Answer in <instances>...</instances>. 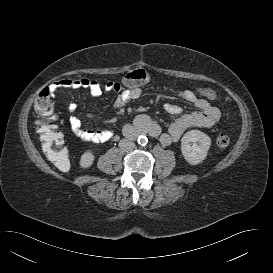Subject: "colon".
I'll list each match as a JSON object with an SVG mask.
<instances>
[{
	"mask_svg": "<svg viewBox=\"0 0 273 273\" xmlns=\"http://www.w3.org/2000/svg\"><path fill=\"white\" fill-rule=\"evenodd\" d=\"M150 81V75L145 70H133L128 72L122 77V84L127 87H134L146 84ZM121 86L120 83L117 82ZM52 89L46 87L38 95L35 101L36 112L46 120L38 122L36 126L37 133L39 134L41 147L45 156L53 162L56 167L61 171H67L70 163L67 155V150L64 147V140L62 134L58 131V126L53 119V105L50 99ZM198 92L208 98L215 99V92L201 88ZM219 147L225 148L230 144V137L227 134H220L216 139Z\"/></svg>",
	"mask_w": 273,
	"mask_h": 273,
	"instance_id": "colon-1",
	"label": "colon"
}]
</instances>
